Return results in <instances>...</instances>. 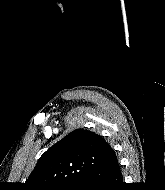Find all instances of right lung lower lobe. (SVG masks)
<instances>
[{
    "label": "right lung lower lobe",
    "mask_w": 165,
    "mask_h": 190,
    "mask_svg": "<svg viewBox=\"0 0 165 190\" xmlns=\"http://www.w3.org/2000/svg\"><path fill=\"white\" fill-rule=\"evenodd\" d=\"M81 184L79 190H123V179L117 157L84 174Z\"/></svg>",
    "instance_id": "98d812e1"
}]
</instances>
